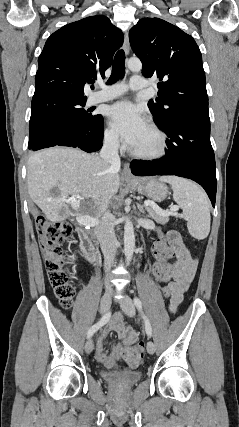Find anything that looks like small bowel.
Instances as JSON below:
<instances>
[{
    "mask_svg": "<svg viewBox=\"0 0 239 427\" xmlns=\"http://www.w3.org/2000/svg\"><path fill=\"white\" fill-rule=\"evenodd\" d=\"M168 240L171 258L175 257L176 260L171 266L172 273L167 284L168 289L163 296L169 298V310L173 313L182 302L183 296L195 276L198 262L190 254L177 231H169ZM110 332L117 333L120 342L113 346L111 352H107L104 349V340ZM136 340V331L125 325L121 313H116L97 337L96 358L108 369L117 368L121 351L127 346L133 345Z\"/></svg>",
    "mask_w": 239,
    "mask_h": 427,
    "instance_id": "small-bowel-1",
    "label": "small bowel"
}]
</instances>
